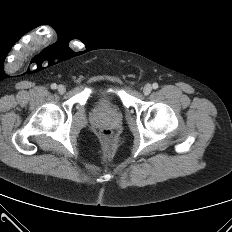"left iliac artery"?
<instances>
[{
	"label": "left iliac artery",
	"mask_w": 232,
	"mask_h": 232,
	"mask_svg": "<svg viewBox=\"0 0 232 232\" xmlns=\"http://www.w3.org/2000/svg\"><path fill=\"white\" fill-rule=\"evenodd\" d=\"M152 87H153V89H157L158 88V84L157 83H153Z\"/></svg>",
	"instance_id": "1"
}]
</instances>
